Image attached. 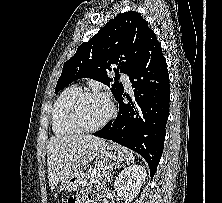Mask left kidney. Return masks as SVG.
I'll use <instances>...</instances> for the list:
<instances>
[{
  "instance_id": "left-kidney-1",
  "label": "left kidney",
  "mask_w": 222,
  "mask_h": 203,
  "mask_svg": "<svg viewBox=\"0 0 222 203\" xmlns=\"http://www.w3.org/2000/svg\"><path fill=\"white\" fill-rule=\"evenodd\" d=\"M146 178V169L138 164L124 168L116 177L114 188L117 194L130 203L137 197Z\"/></svg>"
}]
</instances>
